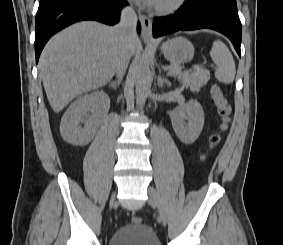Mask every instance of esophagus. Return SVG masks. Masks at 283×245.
<instances>
[{
  "label": "esophagus",
  "instance_id": "34e87169",
  "mask_svg": "<svg viewBox=\"0 0 283 245\" xmlns=\"http://www.w3.org/2000/svg\"><path fill=\"white\" fill-rule=\"evenodd\" d=\"M139 19L141 22V36L144 41H153L152 35V21L149 17L139 13Z\"/></svg>",
  "mask_w": 283,
  "mask_h": 245
}]
</instances>
